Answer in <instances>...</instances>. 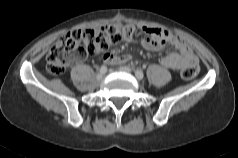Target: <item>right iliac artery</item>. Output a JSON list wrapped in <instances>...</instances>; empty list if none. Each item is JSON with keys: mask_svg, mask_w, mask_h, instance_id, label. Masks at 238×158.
<instances>
[{"mask_svg": "<svg viewBox=\"0 0 238 158\" xmlns=\"http://www.w3.org/2000/svg\"><path fill=\"white\" fill-rule=\"evenodd\" d=\"M100 73H106V71H107V67L105 66V65H103V66H101V68H100Z\"/></svg>", "mask_w": 238, "mask_h": 158, "instance_id": "right-iliac-artery-1", "label": "right iliac artery"}]
</instances>
